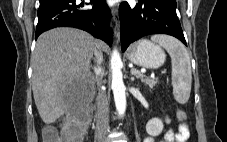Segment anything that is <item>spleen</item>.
<instances>
[{"label":"spleen","mask_w":227,"mask_h":142,"mask_svg":"<svg viewBox=\"0 0 227 142\" xmlns=\"http://www.w3.org/2000/svg\"><path fill=\"white\" fill-rule=\"evenodd\" d=\"M151 40L161 45L169 53L174 98L181 104L186 103L190 97L192 82L190 56L187 49L172 36L157 34L152 36Z\"/></svg>","instance_id":"3e777b00"}]
</instances>
